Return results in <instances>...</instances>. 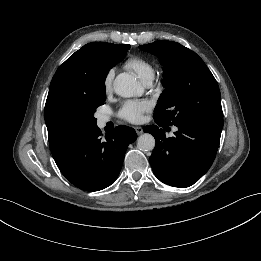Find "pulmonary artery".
Wrapping results in <instances>:
<instances>
[{
  "instance_id": "pulmonary-artery-1",
  "label": "pulmonary artery",
  "mask_w": 261,
  "mask_h": 261,
  "mask_svg": "<svg viewBox=\"0 0 261 261\" xmlns=\"http://www.w3.org/2000/svg\"><path fill=\"white\" fill-rule=\"evenodd\" d=\"M151 82H152V81H147V82H145L144 84H145L146 86H150V85H151ZM108 120H109V118H108L107 116H101V117H99V123H100L101 125H104Z\"/></svg>"
}]
</instances>
